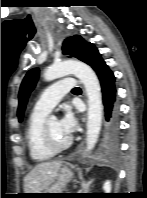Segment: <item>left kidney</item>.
<instances>
[{
	"label": "left kidney",
	"instance_id": "5707ae66",
	"mask_svg": "<svg viewBox=\"0 0 147 198\" xmlns=\"http://www.w3.org/2000/svg\"><path fill=\"white\" fill-rule=\"evenodd\" d=\"M103 189L105 191V193H110L111 191V182L110 181H106L103 185Z\"/></svg>",
	"mask_w": 147,
	"mask_h": 198
}]
</instances>
